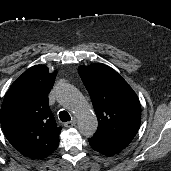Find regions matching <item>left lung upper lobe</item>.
I'll return each instance as SVG.
<instances>
[{"label": "left lung upper lobe", "mask_w": 171, "mask_h": 171, "mask_svg": "<svg viewBox=\"0 0 171 171\" xmlns=\"http://www.w3.org/2000/svg\"><path fill=\"white\" fill-rule=\"evenodd\" d=\"M78 71L98 118V129L93 138L124 149L137 134L141 123L137 95L109 66L95 63L80 66Z\"/></svg>", "instance_id": "5c2ea615"}]
</instances>
